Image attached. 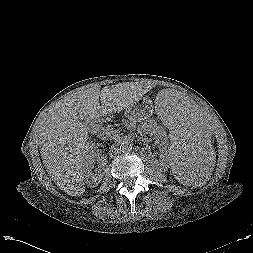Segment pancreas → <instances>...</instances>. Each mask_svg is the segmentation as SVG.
I'll return each instance as SVG.
<instances>
[{"label":"pancreas","instance_id":"obj_1","mask_svg":"<svg viewBox=\"0 0 253 253\" xmlns=\"http://www.w3.org/2000/svg\"><path fill=\"white\" fill-rule=\"evenodd\" d=\"M103 134L106 135L107 138L112 139L118 135V131L113 130L111 127L103 128Z\"/></svg>","mask_w":253,"mask_h":253}]
</instances>
